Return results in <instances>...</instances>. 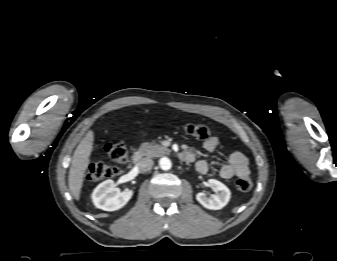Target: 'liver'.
<instances>
[{
	"mask_svg": "<svg viewBox=\"0 0 337 261\" xmlns=\"http://www.w3.org/2000/svg\"><path fill=\"white\" fill-rule=\"evenodd\" d=\"M93 142L94 132L89 130L77 146L72 157L68 184L70 193L76 200L80 199L85 172L89 166L90 155L93 150Z\"/></svg>",
	"mask_w": 337,
	"mask_h": 261,
	"instance_id": "6515ba94",
	"label": "liver"
}]
</instances>
